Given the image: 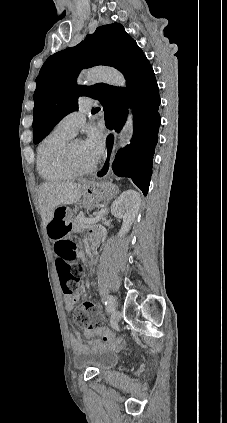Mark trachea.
Here are the masks:
<instances>
[{
    "label": "trachea",
    "mask_w": 227,
    "mask_h": 423,
    "mask_svg": "<svg viewBox=\"0 0 227 423\" xmlns=\"http://www.w3.org/2000/svg\"><path fill=\"white\" fill-rule=\"evenodd\" d=\"M93 110L98 111V110H100V107H96Z\"/></svg>",
    "instance_id": "trachea-1"
}]
</instances>
